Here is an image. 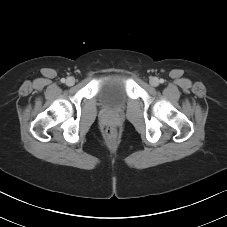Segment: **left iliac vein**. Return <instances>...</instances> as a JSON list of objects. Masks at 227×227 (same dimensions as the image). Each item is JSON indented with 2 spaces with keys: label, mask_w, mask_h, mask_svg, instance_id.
I'll return each mask as SVG.
<instances>
[{
  "label": "left iliac vein",
  "mask_w": 227,
  "mask_h": 227,
  "mask_svg": "<svg viewBox=\"0 0 227 227\" xmlns=\"http://www.w3.org/2000/svg\"><path fill=\"white\" fill-rule=\"evenodd\" d=\"M149 82H150L151 86H154V87L159 85V80L156 77H151Z\"/></svg>",
  "instance_id": "left-iliac-vein-1"
}]
</instances>
